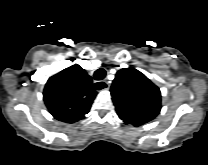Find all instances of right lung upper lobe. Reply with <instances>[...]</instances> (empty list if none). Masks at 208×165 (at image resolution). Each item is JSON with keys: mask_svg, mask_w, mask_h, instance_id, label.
<instances>
[{"mask_svg": "<svg viewBox=\"0 0 208 165\" xmlns=\"http://www.w3.org/2000/svg\"><path fill=\"white\" fill-rule=\"evenodd\" d=\"M96 94L91 77L82 67L73 65L48 79L43 99L55 119L74 123L89 112Z\"/></svg>", "mask_w": 208, "mask_h": 165, "instance_id": "right-lung-upper-lobe-1", "label": "right lung upper lobe"}]
</instances>
